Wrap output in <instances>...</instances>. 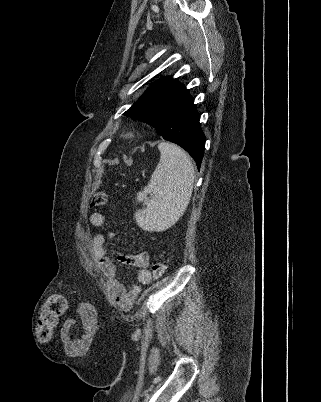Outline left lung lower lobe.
<instances>
[{
    "instance_id": "1",
    "label": "left lung lower lobe",
    "mask_w": 321,
    "mask_h": 402,
    "mask_svg": "<svg viewBox=\"0 0 321 402\" xmlns=\"http://www.w3.org/2000/svg\"><path fill=\"white\" fill-rule=\"evenodd\" d=\"M193 101L185 86L177 85L161 104L154 128L165 140L184 148L199 169L204 154L205 136Z\"/></svg>"
}]
</instances>
